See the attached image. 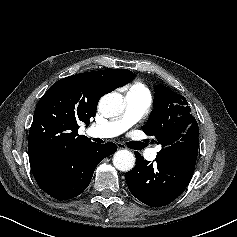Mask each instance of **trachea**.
I'll return each instance as SVG.
<instances>
[{
	"mask_svg": "<svg viewBox=\"0 0 237 237\" xmlns=\"http://www.w3.org/2000/svg\"><path fill=\"white\" fill-rule=\"evenodd\" d=\"M139 148L142 149V148H144V146H143V145H140ZM140 149H138V150H140Z\"/></svg>",
	"mask_w": 237,
	"mask_h": 237,
	"instance_id": "obj_1",
	"label": "trachea"
}]
</instances>
